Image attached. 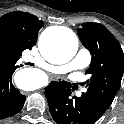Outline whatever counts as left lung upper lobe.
<instances>
[{
    "instance_id": "obj_1",
    "label": "left lung upper lobe",
    "mask_w": 124,
    "mask_h": 124,
    "mask_svg": "<svg viewBox=\"0 0 124 124\" xmlns=\"http://www.w3.org/2000/svg\"><path fill=\"white\" fill-rule=\"evenodd\" d=\"M82 44L91 52V65L86 74L87 92L82 95L99 117L111 105L124 71V53L117 39L99 23H83L77 30Z\"/></svg>"
}]
</instances>
